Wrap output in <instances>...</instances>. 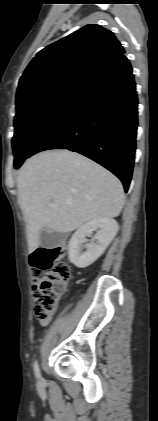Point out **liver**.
<instances>
[{
    "label": "liver",
    "mask_w": 158,
    "mask_h": 421,
    "mask_svg": "<svg viewBox=\"0 0 158 421\" xmlns=\"http://www.w3.org/2000/svg\"><path fill=\"white\" fill-rule=\"evenodd\" d=\"M30 252L40 232L69 233L84 223L117 217L124 205L121 182L92 160L69 150H48L29 158L17 178ZM56 203L57 207H50Z\"/></svg>",
    "instance_id": "6515ba94"
}]
</instances>
